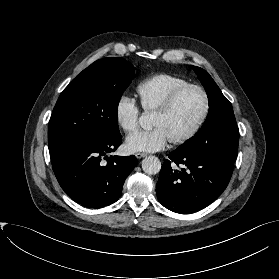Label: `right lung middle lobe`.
<instances>
[{
  "label": "right lung middle lobe",
  "instance_id": "dd1d6c3e",
  "mask_svg": "<svg viewBox=\"0 0 279 279\" xmlns=\"http://www.w3.org/2000/svg\"><path fill=\"white\" fill-rule=\"evenodd\" d=\"M133 77L134 67L118 57L100 59L83 70L62 91L53 109L49 152L120 134L118 104Z\"/></svg>",
  "mask_w": 279,
  "mask_h": 279
}]
</instances>
